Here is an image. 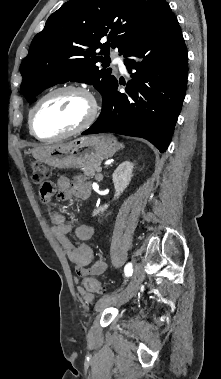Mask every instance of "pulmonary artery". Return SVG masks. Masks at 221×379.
Returning <instances> with one entry per match:
<instances>
[{"label": "pulmonary artery", "instance_id": "obj_1", "mask_svg": "<svg viewBox=\"0 0 221 379\" xmlns=\"http://www.w3.org/2000/svg\"><path fill=\"white\" fill-rule=\"evenodd\" d=\"M113 61L119 67V69L122 73H124L126 71L124 58L122 56H115Z\"/></svg>", "mask_w": 221, "mask_h": 379}]
</instances>
